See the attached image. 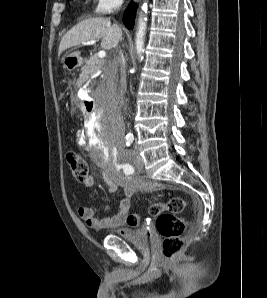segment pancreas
<instances>
[{
  "instance_id": "obj_1",
  "label": "pancreas",
  "mask_w": 267,
  "mask_h": 298,
  "mask_svg": "<svg viewBox=\"0 0 267 298\" xmlns=\"http://www.w3.org/2000/svg\"><path fill=\"white\" fill-rule=\"evenodd\" d=\"M104 65V61L99 59L98 57H92L91 59H89L85 66L81 69L82 73L80 78L83 81H87L90 79V77L97 72L98 70H100ZM114 97V94H113Z\"/></svg>"
}]
</instances>
